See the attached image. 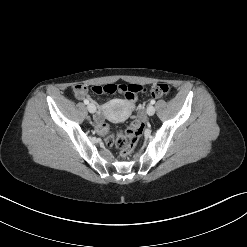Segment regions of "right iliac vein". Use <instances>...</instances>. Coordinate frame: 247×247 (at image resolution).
Listing matches in <instances>:
<instances>
[{"label": "right iliac vein", "instance_id": "1", "mask_svg": "<svg viewBox=\"0 0 247 247\" xmlns=\"http://www.w3.org/2000/svg\"><path fill=\"white\" fill-rule=\"evenodd\" d=\"M87 109H88V111H89L90 113H95V111H96V106H95V104H93V103H89L88 106H87Z\"/></svg>", "mask_w": 247, "mask_h": 247}]
</instances>
